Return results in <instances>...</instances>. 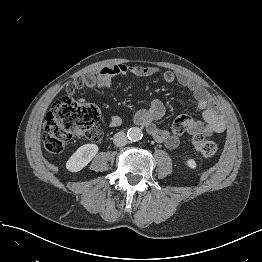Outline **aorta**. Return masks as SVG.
Instances as JSON below:
<instances>
[{
  "instance_id": "aorta-1",
  "label": "aorta",
  "mask_w": 262,
  "mask_h": 262,
  "mask_svg": "<svg viewBox=\"0 0 262 262\" xmlns=\"http://www.w3.org/2000/svg\"><path fill=\"white\" fill-rule=\"evenodd\" d=\"M127 135L131 141H139L143 137V132L138 127H132L128 130Z\"/></svg>"
}]
</instances>
